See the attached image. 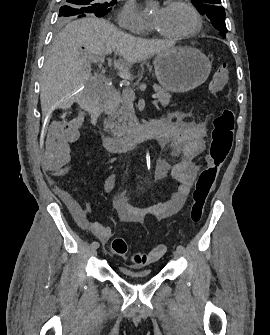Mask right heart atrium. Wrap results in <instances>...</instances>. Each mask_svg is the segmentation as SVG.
I'll use <instances>...</instances> for the list:
<instances>
[{"label":"right heart atrium","instance_id":"right-heart-atrium-1","mask_svg":"<svg viewBox=\"0 0 270 335\" xmlns=\"http://www.w3.org/2000/svg\"><path fill=\"white\" fill-rule=\"evenodd\" d=\"M117 23L119 27L120 25H131V31L138 35H148L151 31L150 25L142 17L134 1H128L124 5L118 13Z\"/></svg>","mask_w":270,"mask_h":335}]
</instances>
